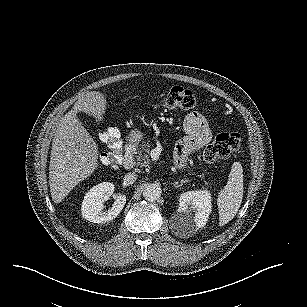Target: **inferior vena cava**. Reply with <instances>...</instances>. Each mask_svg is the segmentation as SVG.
<instances>
[{
	"instance_id": "inferior-vena-cava-1",
	"label": "inferior vena cava",
	"mask_w": 307,
	"mask_h": 307,
	"mask_svg": "<svg viewBox=\"0 0 307 307\" xmlns=\"http://www.w3.org/2000/svg\"><path fill=\"white\" fill-rule=\"evenodd\" d=\"M138 175L136 173H127L124 178V183L126 185H132L137 180Z\"/></svg>"
}]
</instances>
